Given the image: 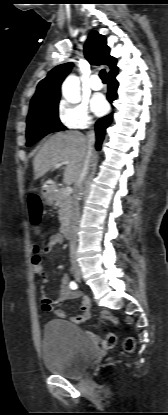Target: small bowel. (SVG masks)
<instances>
[{
    "mask_svg": "<svg viewBox=\"0 0 168 415\" xmlns=\"http://www.w3.org/2000/svg\"><path fill=\"white\" fill-rule=\"evenodd\" d=\"M62 243V237L58 234H53L49 237L48 242L44 246V251L49 253L53 248ZM44 269V268H43ZM80 299L79 309L80 314L68 316L67 313L61 309L56 308L67 300ZM42 309L47 312H53L58 318L64 319L69 318L72 323L81 324L89 319L90 317V306L89 300L86 296L82 295L79 291H74L70 287L69 278L66 274L61 277V286L59 296L55 299L47 297L45 290H41Z\"/></svg>",
    "mask_w": 168,
    "mask_h": 415,
    "instance_id": "c3829d8e",
    "label": "small bowel"
}]
</instances>
